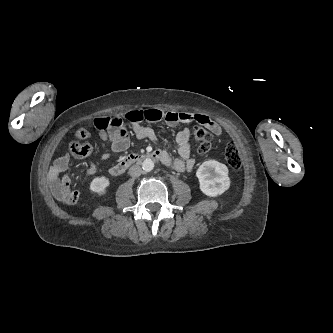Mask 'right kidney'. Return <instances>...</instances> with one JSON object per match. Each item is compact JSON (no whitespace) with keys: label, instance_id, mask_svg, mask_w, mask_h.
Listing matches in <instances>:
<instances>
[{"label":"right kidney","instance_id":"right-kidney-1","mask_svg":"<svg viewBox=\"0 0 333 333\" xmlns=\"http://www.w3.org/2000/svg\"><path fill=\"white\" fill-rule=\"evenodd\" d=\"M109 179L106 177H96L92 180L90 184V190L92 193H97L103 195L106 193V188L109 186Z\"/></svg>","mask_w":333,"mask_h":333}]
</instances>
